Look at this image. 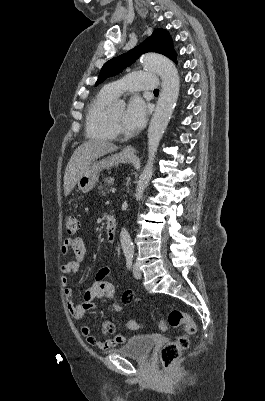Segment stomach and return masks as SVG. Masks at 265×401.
Masks as SVG:
<instances>
[{"instance_id": "stomach-1", "label": "stomach", "mask_w": 265, "mask_h": 401, "mask_svg": "<svg viewBox=\"0 0 265 401\" xmlns=\"http://www.w3.org/2000/svg\"><path fill=\"white\" fill-rule=\"evenodd\" d=\"M135 158H137V156H133V154H128V152L122 150V152H117V154H111V156H106V158L91 162L77 180L79 190H81V192H89V190L95 186L103 168L116 166L119 162H133Z\"/></svg>"}]
</instances>
